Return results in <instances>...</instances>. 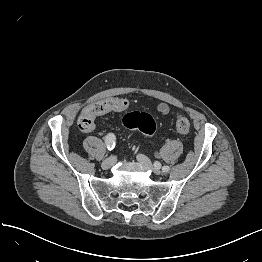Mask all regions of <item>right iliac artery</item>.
Returning a JSON list of instances; mask_svg holds the SVG:
<instances>
[{
  "label": "right iliac artery",
  "instance_id": "obj_1",
  "mask_svg": "<svg viewBox=\"0 0 262 262\" xmlns=\"http://www.w3.org/2000/svg\"><path fill=\"white\" fill-rule=\"evenodd\" d=\"M116 144V137L113 133H109L106 137H105V145L107 147L108 150L112 151L115 147Z\"/></svg>",
  "mask_w": 262,
  "mask_h": 262
}]
</instances>
